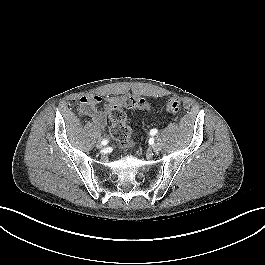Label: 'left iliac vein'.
Listing matches in <instances>:
<instances>
[{
	"instance_id": "4c4485c4",
	"label": "left iliac vein",
	"mask_w": 265,
	"mask_h": 265,
	"mask_svg": "<svg viewBox=\"0 0 265 265\" xmlns=\"http://www.w3.org/2000/svg\"><path fill=\"white\" fill-rule=\"evenodd\" d=\"M162 149V143L159 139L156 140V142L152 145V150L154 152H159Z\"/></svg>"
}]
</instances>
